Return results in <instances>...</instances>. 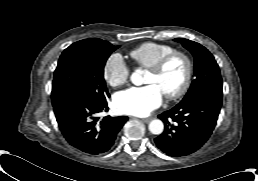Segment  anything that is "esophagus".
<instances>
[{"instance_id":"34e87169","label":"esophagus","mask_w":258,"mask_h":181,"mask_svg":"<svg viewBox=\"0 0 258 181\" xmlns=\"http://www.w3.org/2000/svg\"><path fill=\"white\" fill-rule=\"evenodd\" d=\"M151 120H152L151 117H149V118H143V119H142V121H143L144 123H149Z\"/></svg>"}]
</instances>
